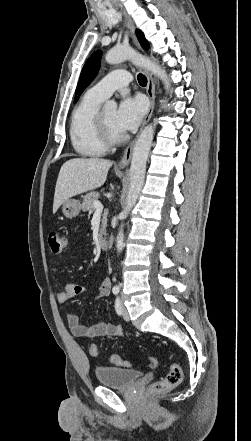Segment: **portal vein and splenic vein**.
I'll return each mask as SVG.
<instances>
[{"mask_svg":"<svg viewBox=\"0 0 251 441\" xmlns=\"http://www.w3.org/2000/svg\"><path fill=\"white\" fill-rule=\"evenodd\" d=\"M94 208L96 209V211H102L103 210V205L101 204V202L95 201L94 202Z\"/></svg>","mask_w":251,"mask_h":441,"instance_id":"18ae733b","label":"portal vein and splenic vein"}]
</instances>
